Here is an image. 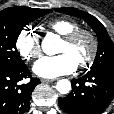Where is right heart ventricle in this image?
Masks as SVG:
<instances>
[{
    "mask_svg": "<svg viewBox=\"0 0 114 114\" xmlns=\"http://www.w3.org/2000/svg\"><path fill=\"white\" fill-rule=\"evenodd\" d=\"M48 29L56 32L59 35H66L69 32L79 28V25L76 21L68 18H58L51 20L47 23Z\"/></svg>",
    "mask_w": 114,
    "mask_h": 114,
    "instance_id": "e07e8e85",
    "label": "right heart ventricle"
}]
</instances>
